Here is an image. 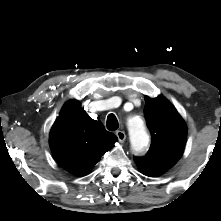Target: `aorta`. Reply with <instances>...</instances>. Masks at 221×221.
Segmentation results:
<instances>
[{
	"label": "aorta",
	"instance_id": "aorta-1",
	"mask_svg": "<svg viewBox=\"0 0 221 221\" xmlns=\"http://www.w3.org/2000/svg\"><path fill=\"white\" fill-rule=\"evenodd\" d=\"M127 129L132 150L135 153L144 151L148 146L149 136L142 119L136 117L129 119L127 122Z\"/></svg>",
	"mask_w": 221,
	"mask_h": 221
}]
</instances>
